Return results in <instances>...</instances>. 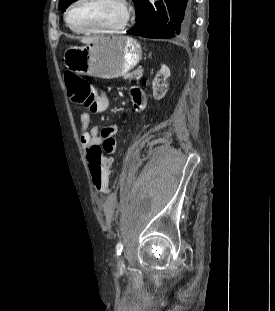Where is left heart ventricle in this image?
I'll return each mask as SVG.
<instances>
[{"mask_svg":"<svg viewBox=\"0 0 275 311\" xmlns=\"http://www.w3.org/2000/svg\"><path fill=\"white\" fill-rule=\"evenodd\" d=\"M123 9L117 0H83L70 12L69 21L77 28H108L120 24Z\"/></svg>","mask_w":275,"mask_h":311,"instance_id":"obj_1","label":"left heart ventricle"}]
</instances>
